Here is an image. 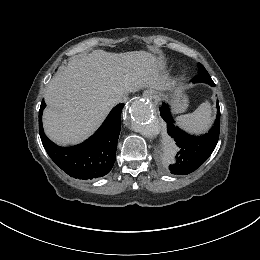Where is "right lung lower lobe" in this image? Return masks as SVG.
Instances as JSON below:
<instances>
[{
    "mask_svg": "<svg viewBox=\"0 0 260 260\" xmlns=\"http://www.w3.org/2000/svg\"><path fill=\"white\" fill-rule=\"evenodd\" d=\"M124 104L112 109L101 127L85 142L73 147H59L43 132L42 112L39 110V133L45 150L54 163L71 177L93 179L110 172L116 159L117 142L121 129V112Z\"/></svg>",
    "mask_w": 260,
    "mask_h": 260,
    "instance_id": "right-lung-lower-lobe-1",
    "label": "right lung lower lobe"
}]
</instances>
